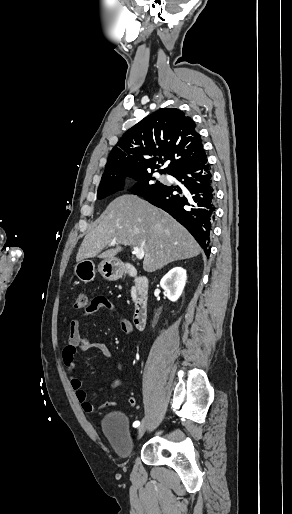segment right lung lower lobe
I'll return each instance as SVG.
<instances>
[{
	"label": "right lung lower lobe",
	"mask_w": 292,
	"mask_h": 514,
	"mask_svg": "<svg viewBox=\"0 0 292 514\" xmlns=\"http://www.w3.org/2000/svg\"><path fill=\"white\" fill-rule=\"evenodd\" d=\"M170 175L180 181L181 185L163 184L142 197L181 223L194 236L208 257L209 236L215 212V193L206 154L197 161L178 168Z\"/></svg>",
	"instance_id": "obj_1"
}]
</instances>
